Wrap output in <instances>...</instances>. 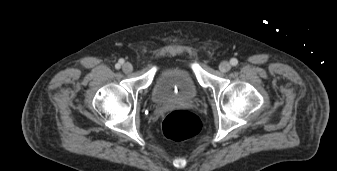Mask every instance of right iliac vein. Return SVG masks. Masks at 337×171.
Listing matches in <instances>:
<instances>
[{"mask_svg":"<svg viewBox=\"0 0 337 171\" xmlns=\"http://www.w3.org/2000/svg\"><path fill=\"white\" fill-rule=\"evenodd\" d=\"M122 70L125 73H130L133 70V66L129 62H126L122 65Z\"/></svg>","mask_w":337,"mask_h":171,"instance_id":"1","label":"right iliac vein"}]
</instances>
